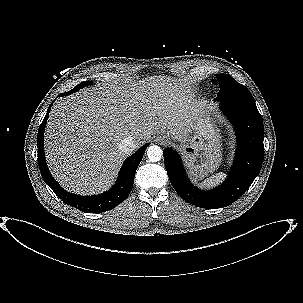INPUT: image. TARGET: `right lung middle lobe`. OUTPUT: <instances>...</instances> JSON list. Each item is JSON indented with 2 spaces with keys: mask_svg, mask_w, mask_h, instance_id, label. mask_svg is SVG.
I'll return each mask as SVG.
<instances>
[{
  "mask_svg": "<svg viewBox=\"0 0 303 303\" xmlns=\"http://www.w3.org/2000/svg\"><path fill=\"white\" fill-rule=\"evenodd\" d=\"M92 84V81H84L80 84H78L75 88H73L72 90H70L69 92H66V94H72L74 92H77L79 89L87 86V85H91Z\"/></svg>",
  "mask_w": 303,
  "mask_h": 303,
  "instance_id": "dd1d6c3e",
  "label": "right lung middle lobe"
}]
</instances>
